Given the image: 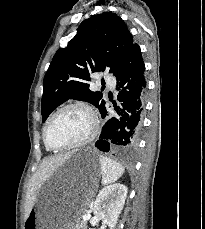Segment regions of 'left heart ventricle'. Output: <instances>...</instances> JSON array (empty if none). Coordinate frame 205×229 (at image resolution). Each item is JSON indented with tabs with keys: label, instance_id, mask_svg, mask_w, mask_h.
Wrapping results in <instances>:
<instances>
[{
	"label": "left heart ventricle",
	"instance_id": "b2bd125f",
	"mask_svg": "<svg viewBox=\"0 0 205 229\" xmlns=\"http://www.w3.org/2000/svg\"><path fill=\"white\" fill-rule=\"evenodd\" d=\"M91 129V119L81 109L71 108L62 112L52 124L49 141L55 147L66 146L85 138Z\"/></svg>",
	"mask_w": 205,
	"mask_h": 229
}]
</instances>
